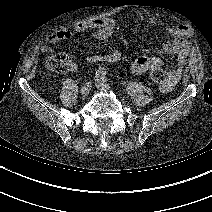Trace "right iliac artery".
I'll return each mask as SVG.
<instances>
[{
    "label": "right iliac artery",
    "instance_id": "1",
    "mask_svg": "<svg viewBox=\"0 0 212 212\" xmlns=\"http://www.w3.org/2000/svg\"><path fill=\"white\" fill-rule=\"evenodd\" d=\"M106 75V69L103 67H99L96 70V77H104Z\"/></svg>",
    "mask_w": 212,
    "mask_h": 212
}]
</instances>
